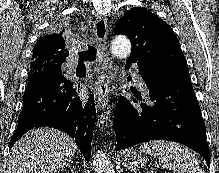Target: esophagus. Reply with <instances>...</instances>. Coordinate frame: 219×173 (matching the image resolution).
I'll list each match as a JSON object with an SVG mask.
<instances>
[{"mask_svg":"<svg viewBox=\"0 0 219 173\" xmlns=\"http://www.w3.org/2000/svg\"><path fill=\"white\" fill-rule=\"evenodd\" d=\"M107 35V19L103 16H99L94 23V38L98 46L104 50L107 49ZM101 69L102 71L96 82V93L99 106L104 108L108 103L109 93L111 91L110 83L115 71L109 57L103 61Z\"/></svg>","mask_w":219,"mask_h":173,"instance_id":"34e87169","label":"esophagus"}]
</instances>
